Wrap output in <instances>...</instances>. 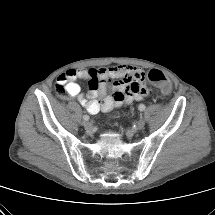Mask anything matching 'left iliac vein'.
Returning a JSON list of instances; mask_svg holds the SVG:
<instances>
[{
    "mask_svg": "<svg viewBox=\"0 0 215 215\" xmlns=\"http://www.w3.org/2000/svg\"><path fill=\"white\" fill-rule=\"evenodd\" d=\"M145 126V120L143 118H141L136 125V131H140L144 128Z\"/></svg>",
    "mask_w": 215,
    "mask_h": 215,
    "instance_id": "left-iliac-vein-1",
    "label": "left iliac vein"
}]
</instances>
